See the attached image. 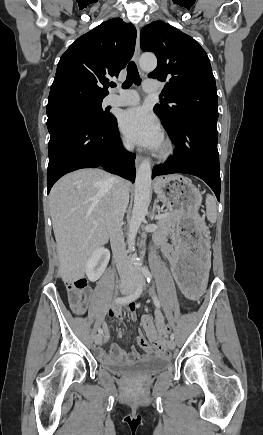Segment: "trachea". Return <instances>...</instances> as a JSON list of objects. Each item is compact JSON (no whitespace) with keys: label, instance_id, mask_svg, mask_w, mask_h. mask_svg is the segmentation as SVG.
<instances>
[{"label":"trachea","instance_id":"obj_1","mask_svg":"<svg viewBox=\"0 0 263 435\" xmlns=\"http://www.w3.org/2000/svg\"><path fill=\"white\" fill-rule=\"evenodd\" d=\"M133 83L135 85H140L141 78L139 76L136 64L133 61H131L128 64L127 77H126V80L124 81V83L122 84V88L128 89L129 87L132 86ZM115 86H116L115 84L112 85V87H115Z\"/></svg>","mask_w":263,"mask_h":435}]
</instances>
